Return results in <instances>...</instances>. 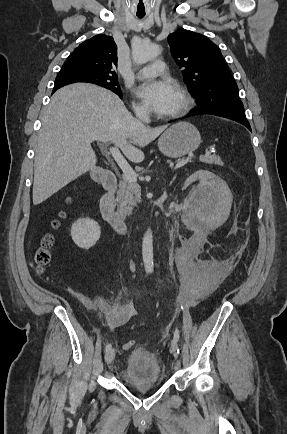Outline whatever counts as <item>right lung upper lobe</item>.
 <instances>
[{"mask_svg": "<svg viewBox=\"0 0 287 434\" xmlns=\"http://www.w3.org/2000/svg\"><path fill=\"white\" fill-rule=\"evenodd\" d=\"M117 46L113 37L96 35L81 43L62 68H77L94 73L117 76ZM60 86H54V93Z\"/></svg>", "mask_w": 287, "mask_h": 434, "instance_id": "cb5924a9", "label": "right lung upper lobe"}]
</instances>
